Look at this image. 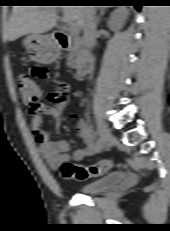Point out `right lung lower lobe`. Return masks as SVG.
Returning a JSON list of instances; mask_svg holds the SVG:
<instances>
[{
	"label": "right lung lower lobe",
	"mask_w": 170,
	"mask_h": 231,
	"mask_svg": "<svg viewBox=\"0 0 170 231\" xmlns=\"http://www.w3.org/2000/svg\"><path fill=\"white\" fill-rule=\"evenodd\" d=\"M138 10H140V6H135Z\"/></svg>",
	"instance_id": "1"
}]
</instances>
